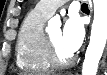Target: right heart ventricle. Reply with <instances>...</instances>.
<instances>
[{
    "label": "right heart ventricle",
    "mask_w": 107,
    "mask_h": 75,
    "mask_svg": "<svg viewBox=\"0 0 107 75\" xmlns=\"http://www.w3.org/2000/svg\"><path fill=\"white\" fill-rule=\"evenodd\" d=\"M46 20L36 10L28 13L23 20L16 43V63L20 69L46 72L52 68L47 57L43 31Z\"/></svg>",
    "instance_id": "1"
}]
</instances>
